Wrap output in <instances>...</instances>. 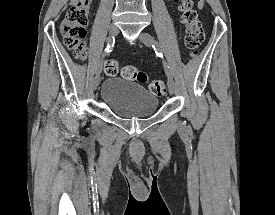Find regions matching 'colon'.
Here are the masks:
<instances>
[{
	"mask_svg": "<svg viewBox=\"0 0 275 215\" xmlns=\"http://www.w3.org/2000/svg\"><path fill=\"white\" fill-rule=\"evenodd\" d=\"M180 3L181 21L185 25V47L189 54L194 57L204 41L203 25L193 9L192 0H180ZM90 4L91 0H76L67 10L65 19L61 24L64 44L77 59H84L87 52L85 38ZM102 65L107 76H115L118 73L119 66L116 60L106 59ZM122 75L128 80L147 84L149 91L157 96H163L167 91L162 80L150 79L145 71L136 66L125 65L122 68Z\"/></svg>",
	"mask_w": 275,
	"mask_h": 215,
	"instance_id": "obj_1",
	"label": "colon"
}]
</instances>
